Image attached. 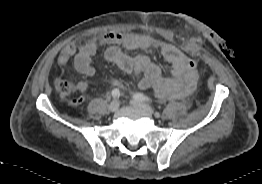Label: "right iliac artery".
Returning <instances> with one entry per match:
<instances>
[{
	"instance_id": "obj_1",
	"label": "right iliac artery",
	"mask_w": 262,
	"mask_h": 184,
	"mask_svg": "<svg viewBox=\"0 0 262 184\" xmlns=\"http://www.w3.org/2000/svg\"><path fill=\"white\" fill-rule=\"evenodd\" d=\"M111 94H112V96H113L114 98H119V96H120V90L117 89V88H115V89L112 90Z\"/></svg>"
}]
</instances>
